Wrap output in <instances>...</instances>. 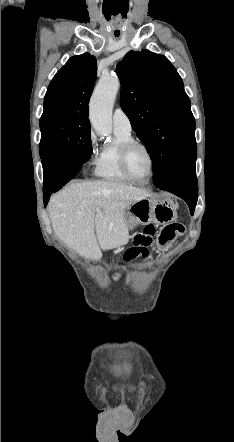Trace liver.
<instances>
[{"label": "liver", "instance_id": "obj_1", "mask_svg": "<svg viewBox=\"0 0 234 442\" xmlns=\"http://www.w3.org/2000/svg\"><path fill=\"white\" fill-rule=\"evenodd\" d=\"M149 196L147 191L123 183L76 182L51 197L49 216L54 232L70 248L91 260H100L101 249L128 243L125 211L133 202Z\"/></svg>", "mask_w": 234, "mask_h": 442}]
</instances>
